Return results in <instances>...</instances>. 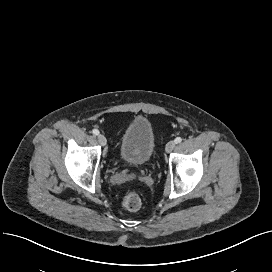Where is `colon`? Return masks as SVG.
<instances>
[{
  "instance_id": "1",
  "label": "colon",
  "mask_w": 272,
  "mask_h": 272,
  "mask_svg": "<svg viewBox=\"0 0 272 272\" xmlns=\"http://www.w3.org/2000/svg\"><path fill=\"white\" fill-rule=\"evenodd\" d=\"M142 205V198L139 193L132 191L122 199V207L127 211H137Z\"/></svg>"
}]
</instances>
